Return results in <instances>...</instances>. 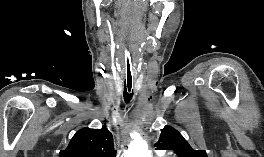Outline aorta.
I'll return each mask as SVG.
<instances>
[{"instance_id":"obj_1","label":"aorta","mask_w":264,"mask_h":157,"mask_svg":"<svg viewBox=\"0 0 264 157\" xmlns=\"http://www.w3.org/2000/svg\"><path fill=\"white\" fill-rule=\"evenodd\" d=\"M146 141L137 137L134 139L126 152V157H151Z\"/></svg>"}]
</instances>
